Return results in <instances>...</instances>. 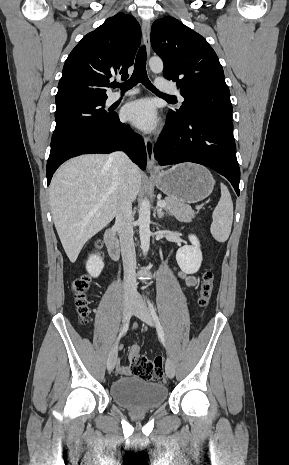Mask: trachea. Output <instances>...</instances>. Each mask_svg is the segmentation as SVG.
<instances>
[{"label": "trachea", "mask_w": 289, "mask_h": 465, "mask_svg": "<svg viewBox=\"0 0 289 465\" xmlns=\"http://www.w3.org/2000/svg\"><path fill=\"white\" fill-rule=\"evenodd\" d=\"M139 82L157 94H160L167 98L175 99L171 95H167V94L159 92L149 81L147 77V72H146V47L145 46H141V48L139 49L137 53L134 71H133L131 78L122 84L114 82L111 84V87L113 88L120 87L121 90L125 91L128 89H131L132 87L137 85Z\"/></svg>", "instance_id": "3493384b"}]
</instances>
